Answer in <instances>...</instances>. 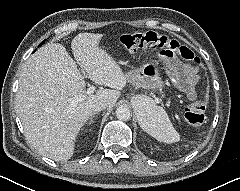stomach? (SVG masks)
<instances>
[{"label":"stomach","mask_w":240,"mask_h":191,"mask_svg":"<svg viewBox=\"0 0 240 191\" xmlns=\"http://www.w3.org/2000/svg\"><path fill=\"white\" fill-rule=\"evenodd\" d=\"M124 74L128 83L144 89H154L163 85L158 65L153 62L146 63L139 69L129 70ZM136 113L139 123L142 125L146 109L144 107H136Z\"/></svg>","instance_id":"0dacf381"}]
</instances>
